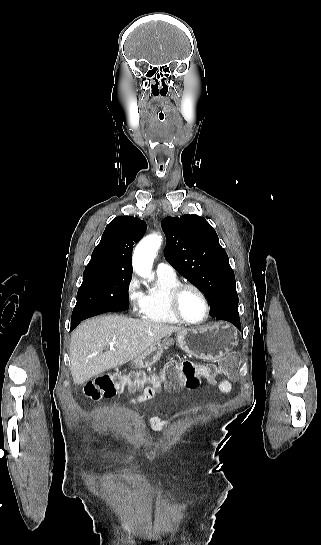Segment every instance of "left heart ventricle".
Here are the masks:
<instances>
[{"label": "left heart ventricle", "mask_w": 321, "mask_h": 545, "mask_svg": "<svg viewBox=\"0 0 321 545\" xmlns=\"http://www.w3.org/2000/svg\"><path fill=\"white\" fill-rule=\"evenodd\" d=\"M178 310L183 319L188 322H197L205 314L202 299L197 292L191 289L184 290L178 299Z\"/></svg>", "instance_id": "left-heart-ventricle-1"}]
</instances>
